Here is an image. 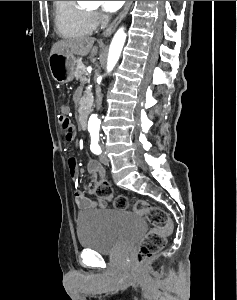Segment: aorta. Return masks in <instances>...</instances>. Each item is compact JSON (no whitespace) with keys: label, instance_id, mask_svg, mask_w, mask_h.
I'll return each mask as SVG.
<instances>
[{"label":"aorta","instance_id":"762f6f07","mask_svg":"<svg viewBox=\"0 0 237 300\" xmlns=\"http://www.w3.org/2000/svg\"><path fill=\"white\" fill-rule=\"evenodd\" d=\"M125 29L121 27L118 29L117 33H115L112 43L109 47L108 59H107V71H113L118 59H120V55L122 53V49L124 47V43L126 41V33H124ZM100 121L97 115H91L88 121V129H99Z\"/></svg>","mask_w":237,"mask_h":300}]
</instances>
